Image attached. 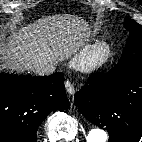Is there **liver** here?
Listing matches in <instances>:
<instances>
[{
    "mask_svg": "<svg viewBox=\"0 0 142 142\" xmlns=\"http://www.w3.org/2000/svg\"><path fill=\"white\" fill-rule=\"evenodd\" d=\"M89 36L84 19L73 15L45 17L8 36L0 49V69L33 71L35 65L57 63L70 56Z\"/></svg>",
    "mask_w": 142,
    "mask_h": 142,
    "instance_id": "obj_1",
    "label": "liver"
}]
</instances>
